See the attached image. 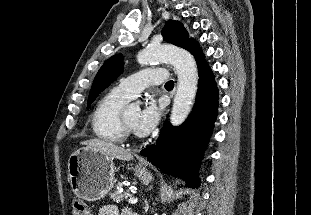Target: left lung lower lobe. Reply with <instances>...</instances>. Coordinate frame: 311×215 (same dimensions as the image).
Here are the masks:
<instances>
[{"label":"left lung lower lobe","mask_w":311,"mask_h":215,"mask_svg":"<svg viewBox=\"0 0 311 215\" xmlns=\"http://www.w3.org/2000/svg\"><path fill=\"white\" fill-rule=\"evenodd\" d=\"M187 50L194 55L199 70L192 112L179 127L164 123L156 144L143 149L140 154L147 156L162 171L180 175L186 180V186L195 188L199 185L198 164L217 117L218 89L198 44L193 41Z\"/></svg>","instance_id":"left-lung-lower-lobe-1"}]
</instances>
